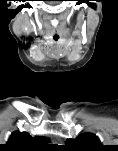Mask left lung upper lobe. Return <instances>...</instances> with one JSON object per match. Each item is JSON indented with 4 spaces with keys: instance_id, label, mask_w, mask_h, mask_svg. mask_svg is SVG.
I'll return each mask as SVG.
<instances>
[{
    "instance_id": "1",
    "label": "left lung upper lobe",
    "mask_w": 118,
    "mask_h": 151,
    "mask_svg": "<svg viewBox=\"0 0 118 151\" xmlns=\"http://www.w3.org/2000/svg\"><path fill=\"white\" fill-rule=\"evenodd\" d=\"M66 144L70 150L75 151H93L102 147L99 138L90 133L81 134L75 139H67Z\"/></svg>"
}]
</instances>
